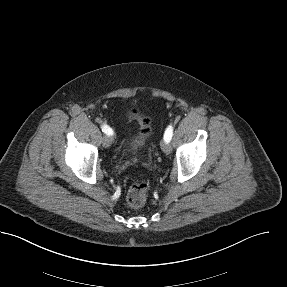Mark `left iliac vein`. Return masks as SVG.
I'll list each match as a JSON object with an SVG mask.
<instances>
[{"mask_svg": "<svg viewBox=\"0 0 287 287\" xmlns=\"http://www.w3.org/2000/svg\"><path fill=\"white\" fill-rule=\"evenodd\" d=\"M161 149L166 154H170L172 151L171 145L169 144V142H166L165 140L161 142Z\"/></svg>", "mask_w": 287, "mask_h": 287, "instance_id": "left-iliac-vein-1", "label": "left iliac vein"}]
</instances>
